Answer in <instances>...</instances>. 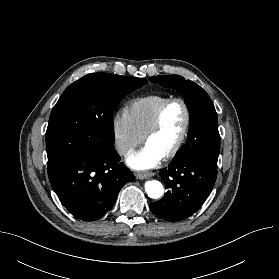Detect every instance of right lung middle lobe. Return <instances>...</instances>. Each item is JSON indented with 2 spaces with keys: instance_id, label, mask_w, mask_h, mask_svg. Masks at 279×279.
<instances>
[{
  "instance_id": "1",
  "label": "right lung middle lobe",
  "mask_w": 279,
  "mask_h": 279,
  "mask_svg": "<svg viewBox=\"0 0 279 279\" xmlns=\"http://www.w3.org/2000/svg\"><path fill=\"white\" fill-rule=\"evenodd\" d=\"M146 83L144 78L92 73L68 86L52 109L46 131L49 179L73 157L113 147L115 108Z\"/></svg>"
}]
</instances>
